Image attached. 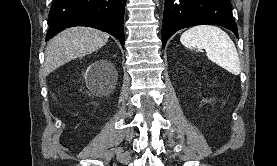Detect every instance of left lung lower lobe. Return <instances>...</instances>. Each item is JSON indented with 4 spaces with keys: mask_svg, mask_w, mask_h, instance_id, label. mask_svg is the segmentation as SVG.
Here are the masks:
<instances>
[{
    "mask_svg": "<svg viewBox=\"0 0 277 166\" xmlns=\"http://www.w3.org/2000/svg\"><path fill=\"white\" fill-rule=\"evenodd\" d=\"M202 24L225 27L238 37L230 0H165L163 47L178 30Z\"/></svg>",
    "mask_w": 277,
    "mask_h": 166,
    "instance_id": "obj_1",
    "label": "left lung lower lobe"
}]
</instances>
